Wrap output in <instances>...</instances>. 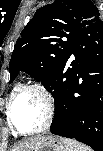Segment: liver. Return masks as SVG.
Returning a JSON list of instances; mask_svg holds the SVG:
<instances>
[{"label": "liver", "instance_id": "obj_1", "mask_svg": "<svg viewBox=\"0 0 103 151\" xmlns=\"http://www.w3.org/2000/svg\"><path fill=\"white\" fill-rule=\"evenodd\" d=\"M35 138L26 140L25 142H22L20 144H18L17 146H15L12 151H26V149L29 147V145L31 144V142L34 140Z\"/></svg>", "mask_w": 103, "mask_h": 151}]
</instances>
